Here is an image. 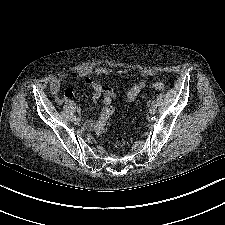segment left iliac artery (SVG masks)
<instances>
[{
  "label": "left iliac artery",
  "mask_w": 225,
  "mask_h": 225,
  "mask_svg": "<svg viewBox=\"0 0 225 225\" xmlns=\"http://www.w3.org/2000/svg\"><path fill=\"white\" fill-rule=\"evenodd\" d=\"M152 104H153V105H156V102H155V100H153V101H152Z\"/></svg>",
  "instance_id": "1"
}]
</instances>
